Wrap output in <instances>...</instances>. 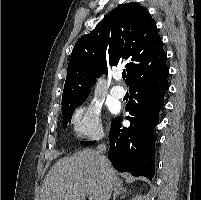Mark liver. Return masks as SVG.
Here are the masks:
<instances>
[{
  "label": "liver",
  "mask_w": 201,
  "mask_h": 200,
  "mask_svg": "<svg viewBox=\"0 0 201 200\" xmlns=\"http://www.w3.org/2000/svg\"><path fill=\"white\" fill-rule=\"evenodd\" d=\"M121 184L107 162L102 169L99 154L85 149L59 159L46 175L40 200H109L115 185Z\"/></svg>",
  "instance_id": "obj_1"
}]
</instances>
